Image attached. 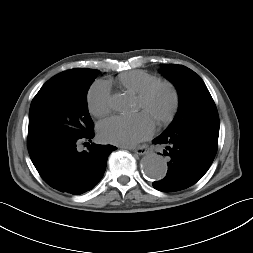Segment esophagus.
I'll return each instance as SVG.
<instances>
[{"label":"esophagus","instance_id":"34e87169","mask_svg":"<svg viewBox=\"0 0 253 253\" xmlns=\"http://www.w3.org/2000/svg\"><path fill=\"white\" fill-rule=\"evenodd\" d=\"M133 151L138 155H144L149 152V147L146 145L133 148Z\"/></svg>","mask_w":253,"mask_h":253}]
</instances>
